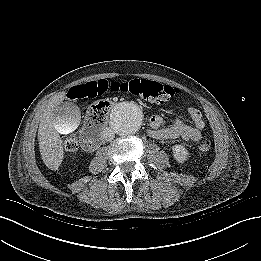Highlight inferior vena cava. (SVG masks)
Here are the masks:
<instances>
[{
	"instance_id": "obj_1",
	"label": "inferior vena cava",
	"mask_w": 261,
	"mask_h": 261,
	"mask_svg": "<svg viewBox=\"0 0 261 261\" xmlns=\"http://www.w3.org/2000/svg\"><path fill=\"white\" fill-rule=\"evenodd\" d=\"M102 136H103V139H104V140H106V141H111V140L114 139L115 133H114V131H113L111 128L106 127V128L103 130Z\"/></svg>"
}]
</instances>
